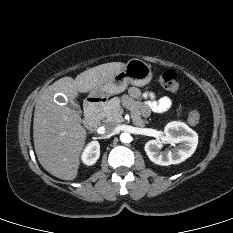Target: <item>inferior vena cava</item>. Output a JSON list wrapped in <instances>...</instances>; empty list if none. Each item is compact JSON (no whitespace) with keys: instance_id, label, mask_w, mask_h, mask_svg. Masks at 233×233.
<instances>
[{"instance_id":"inferior-vena-cava-1","label":"inferior vena cava","mask_w":233,"mask_h":233,"mask_svg":"<svg viewBox=\"0 0 233 233\" xmlns=\"http://www.w3.org/2000/svg\"><path fill=\"white\" fill-rule=\"evenodd\" d=\"M105 133H114L116 131V126L112 123H107L103 126Z\"/></svg>"}]
</instances>
